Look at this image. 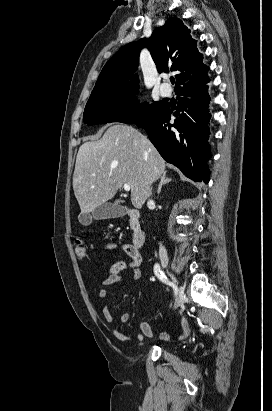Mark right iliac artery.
<instances>
[{
	"instance_id": "right-iliac-artery-1",
	"label": "right iliac artery",
	"mask_w": 272,
	"mask_h": 411,
	"mask_svg": "<svg viewBox=\"0 0 272 411\" xmlns=\"http://www.w3.org/2000/svg\"><path fill=\"white\" fill-rule=\"evenodd\" d=\"M154 273L161 282L167 285H170L174 289L175 295H177V292H178L177 286L174 283L169 281L166 275L161 271L160 265L158 263L154 265Z\"/></svg>"
}]
</instances>
